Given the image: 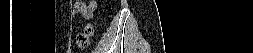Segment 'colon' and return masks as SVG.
Returning a JSON list of instances; mask_svg holds the SVG:
<instances>
[{
	"label": "colon",
	"instance_id": "1",
	"mask_svg": "<svg viewBox=\"0 0 253 53\" xmlns=\"http://www.w3.org/2000/svg\"><path fill=\"white\" fill-rule=\"evenodd\" d=\"M94 29L91 24H87L82 32L77 35V46L81 49L87 48L93 36Z\"/></svg>",
	"mask_w": 253,
	"mask_h": 53
}]
</instances>
